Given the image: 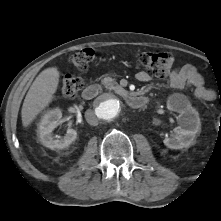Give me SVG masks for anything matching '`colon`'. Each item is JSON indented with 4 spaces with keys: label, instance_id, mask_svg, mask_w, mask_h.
I'll return each instance as SVG.
<instances>
[{
    "label": "colon",
    "instance_id": "obj_1",
    "mask_svg": "<svg viewBox=\"0 0 221 221\" xmlns=\"http://www.w3.org/2000/svg\"><path fill=\"white\" fill-rule=\"evenodd\" d=\"M93 58L94 51L91 48H84L74 53L70 62L76 70L85 71ZM137 61L143 69L157 78L166 77L174 66V59L169 53L141 52L137 56ZM84 83L81 76L65 75L61 79L62 94L66 97H74L82 90Z\"/></svg>",
    "mask_w": 221,
    "mask_h": 221
}]
</instances>
